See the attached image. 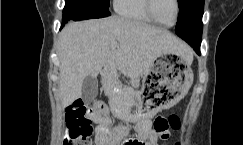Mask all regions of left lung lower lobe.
Listing matches in <instances>:
<instances>
[{
	"instance_id": "1",
	"label": "left lung lower lobe",
	"mask_w": 243,
	"mask_h": 145,
	"mask_svg": "<svg viewBox=\"0 0 243 145\" xmlns=\"http://www.w3.org/2000/svg\"><path fill=\"white\" fill-rule=\"evenodd\" d=\"M175 30L178 36L200 54L202 29L197 24L189 22L185 15H180Z\"/></svg>"
}]
</instances>
